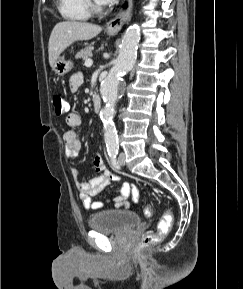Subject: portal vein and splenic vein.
Masks as SVG:
<instances>
[{"mask_svg": "<svg viewBox=\"0 0 243 289\" xmlns=\"http://www.w3.org/2000/svg\"><path fill=\"white\" fill-rule=\"evenodd\" d=\"M92 64H93V61H92V59H90V58L85 61V66H86V67H91Z\"/></svg>", "mask_w": 243, "mask_h": 289, "instance_id": "1", "label": "portal vein and splenic vein"}]
</instances>
